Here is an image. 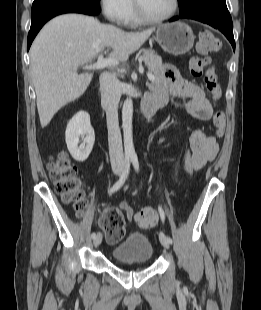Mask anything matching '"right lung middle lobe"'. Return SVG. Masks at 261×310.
Here are the masks:
<instances>
[{"label":"right lung middle lobe","instance_id":"obj_1","mask_svg":"<svg viewBox=\"0 0 261 310\" xmlns=\"http://www.w3.org/2000/svg\"><path fill=\"white\" fill-rule=\"evenodd\" d=\"M50 1H55V0H34L32 8H35L39 5H42L46 2ZM71 1H80V2H85V3H90V4H95L99 6V0H71Z\"/></svg>","mask_w":261,"mask_h":310}]
</instances>
